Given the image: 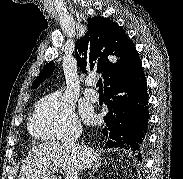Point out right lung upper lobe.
<instances>
[{
    "label": "right lung upper lobe",
    "mask_w": 183,
    "mask_h": 179,
    "mask_svg": "<svg viewBox=\"0 0 183 179\" xmlns=\"http://www.w3.org/2000/svg\"><path fill=\"white\" fill-rule=\"evenodd\" d=\"M75 55L82 72L95 70L103 74L105 86L131 74L141 64L122 27L104 17L89 19L87 33L76 42ZM54 68L53 62L46 64L32 88L50 77Z\"/></svg>",
    "instance_id": "1"
}]
</instances>
